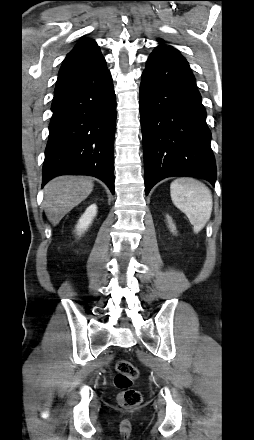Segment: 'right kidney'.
Here are the masks:
<instances>
[{
  "mask_svg": "<svg viewBox=\"0 0 254 440\" xmlns=\"http://www.w3.org/2000/svg\"><path fill=\"white\" fill-rule=\"evenodd\" d=\"M96 213H97V206L95 204L90 205L86 209L85 213L79 219L77 227H76L79 234H81L82 232H84L88 228V226L91 224L93 218L96 216Z\"/></svg>",
  "mask_w": 254,
  "mask_h": 440,
  "instance_id": "ca27d5eb",
  "label": "right kidney"
}]
</instances>
